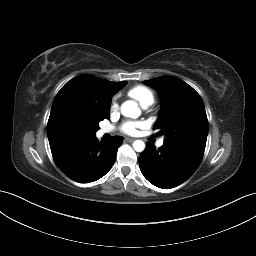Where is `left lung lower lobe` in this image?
Returning <instances> with one entry per match:
<instances>
[{
  "mask_svg": "<svg viewBox=\"0 0 256 256\" xmlns=\"http://www.w3.org/2000/svg\"><path fill=\"white\" fill-rule=\"evenodd\" d=\"M201 160L168 146L158 150L150 142L139 157L144 177L153 185L170 189L186 181L197 169Z\"/></svg>",
  "mask_w": 256,
  "mask_h": 256,
  "instance_id": "obj_1",
  "label": "left lung lower lobe"
}]
</instances>
